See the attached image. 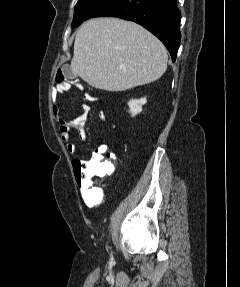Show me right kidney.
I'll use <instances>...</instances> for the list:
<instances>
[{
  "label": "right kidney",
  "instance_id": "1",
  "mask_svg": "<svg viewBox=\"0 0 240 287\" xmlns=\"http://www.w3.org/2000/svg\"><path fill=\"white\" fill-rule=\"evenodd\" d=\"M147 102L146 98L132 99L128 102L129 113L132 117L142 112V106Z\"/></svg>",
  "mask_w": 240,
  "mask_h": 287
}]
</instances>
